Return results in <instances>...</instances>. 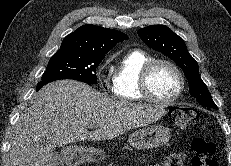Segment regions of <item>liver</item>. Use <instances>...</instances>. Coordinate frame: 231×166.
Instances as JSON below:
<instances>
[{
	"instance_id": "obj_1",
	"label": "liver",
	"mask_w": 231,
	"mask_h": 166,
	"mask_svg": "<svg viewBox=\"0 0 231 166\" xmlns=\"http://www.w3.org/2000/svg\"><path fill=\"white\" fill-rule=\"evenodd\" d=\"M165 114L161 106L113 101L81 82H52L34 95L17 122L11 166H47L57 146L113 139Z\"/></svg>"
}]
</instances>
